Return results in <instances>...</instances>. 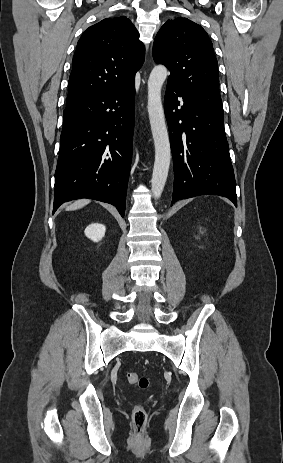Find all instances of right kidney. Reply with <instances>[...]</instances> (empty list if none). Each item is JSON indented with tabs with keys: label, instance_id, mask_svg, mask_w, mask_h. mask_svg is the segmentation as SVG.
<instances>
[{
	"label": "right kidney",
	"instance_id": "right-kidney-1",
	"mask_svg": "<svg viewBox=\"0 0 283 463\" xmlns=\"http://www.w3.org/2000/svg\"><path fill=\"white\" fill-rule=\"evenodd\" d=\"M106 227L100 223H92L85 229V235L94 242L100 241L105 235Z\"/></svg>",
	"mask_w": 283,
	"mask_h": 463
}]
</instances>
